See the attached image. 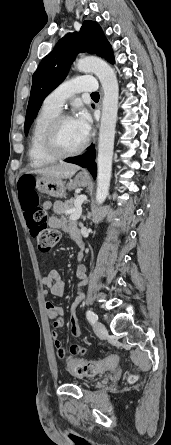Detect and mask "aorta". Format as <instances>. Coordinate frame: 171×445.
<instances>
[{"label": "aorta", "mask_w": 171, "mask_h": 445, "mask_svg": "<svg viewBox=\"0 0 171 445\" xmlns=\"http://www.w3.org/2000/svg\"><path fill=\"white\" fill-rule=\"evenodd\" d=\"M76 67L81 72L94 73L100 80L104 91L98 141L96 189V202L102 204L109 193L112 174L119 87L116 73L112 67L99 58L86 57L80 59L77 61Z\"/></svg>", "instance_id": "762f6f07"}]
</instances>
